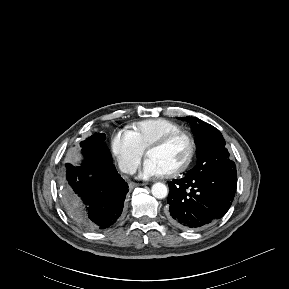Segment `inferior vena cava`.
Returning a JSON list of instances; mask_svg holds the SVG:
<instances>
[{"label": "inferior vena cava", "mask_w": 289, "mask_h": 289, "mask_svg": "<svg viewBox=\"0 0 289 289\" xmlns=\"http://www.w3.org/2000/svg\"><path fill=\"white\" fill-rule=\"evenodd\" d=\"M133 171H134V166H133V165H128V166H126V167L123 169V172L129 173V174H132Z\"/></svg>", "instance_id": "1"}]
</instances>
